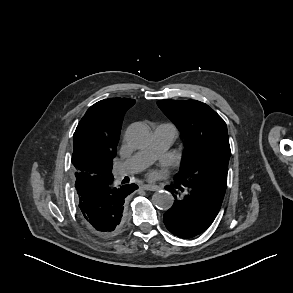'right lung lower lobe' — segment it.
<instances>
[{"mask_svg": "<svg viewBox=\"0 0 293 293\" xmlns=\"http://www.w3.org/2000/svg\"><path fill=\"white\" fill-rule=\"evenodd\" d=\"M112 181V175L75 173L81 219L92 233L101 237L113 236L122 229L125 198L138 188L135 184L116 188Z\"/></svg>", "mask_w": 293, "mask_h": 293, "instance_id": "98d812e1", "label": "right lung lower lobe"}]
</instances>
